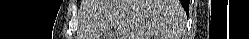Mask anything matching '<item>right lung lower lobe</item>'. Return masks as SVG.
<instances>
[{"mask_svg": "<svg viewBox=\"0 0 249 39\" xmlns=\"http://www.w3.org/2000/svg\"><path fill=\"white\" fill-rule=\"evenodd\" d=\"M181 3L183 5L184 10L186 11V13L189 10V0H181Z\"/></svg>", "mask_w": 249, "mask_h": 39, "instance_id": "right-lung-lower-lobe-1", "label": "right lung lower lobe"}]
</instances>
